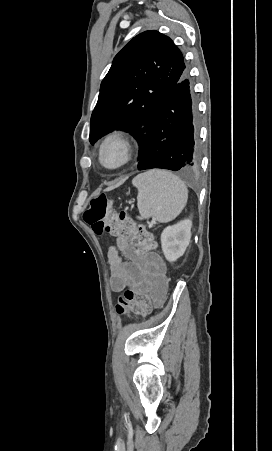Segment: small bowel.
I'll use <instances>...</instances> for the list:
<instances>
[{
    "label": "small bowel",
    "mask_w": 272,
    "mask_h": 451,
    "mask_svg": "<svg viewBox=\"0 0 272 451\" xmlns=\"http://www.w3.org/2000/svg\"><path fill=\"white\" fill-rule=\"evenodd\" d=\"M107 257L110 285L114 292L127 288L149 290V269L154 271L156 277H163L166 281L167 265L152 250L135 251L131 245H123L122 238H116V244L109 247Z\"/></svg>",
    "instance_id": "obj_1"
}]
</instances>
